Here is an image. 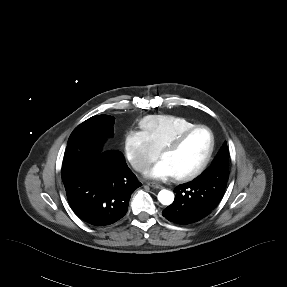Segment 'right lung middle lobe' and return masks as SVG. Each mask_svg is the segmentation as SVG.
I'll list each match as a JSON object with an SVG mask.
<instances>
[{
  "mask_svg": "<svg viewBox=\"0 0 287 287\" xmlns=\"http://www.w3.org/2000/svg\"><path fill=\"white\" fill-rule=\"evenodd\" d=\"M115 118L109 115H98L84 121L74 129L69 141L83 136H96L102 139L114 136L113 125Z\"/></svg>",
  "mask_w": 287,
  "mask_h": 287,
  "instance_id": "obj_1",
  "label": "right lung middle lobe"
}]
</instances>
